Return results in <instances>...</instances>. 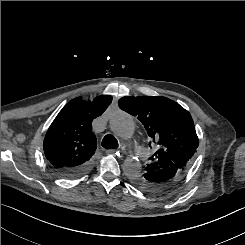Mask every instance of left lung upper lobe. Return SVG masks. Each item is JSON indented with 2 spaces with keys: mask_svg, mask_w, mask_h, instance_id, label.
Instances as JSON below:
<instances>
[{
  "mask_svg": "<svg viewBox=\"0 0 245 245\" xmlns=\"http://www.w3.org/2000/svg\"><path fill=\"white\" fill-rule=\"evenodd\" d=\"M118 105L136 116L159 145L146 171L133 178V184L146 193H153L149 177L157 171L173 168L183 174L199 144L190 113L175 101L160 96L122 97Z\"/></svg>",
  "mask_w": 245,
  "mask_h": 245,
  "instance_id": "obj_1",
  "label": "left lung upper lobe"
}]
</instances>
